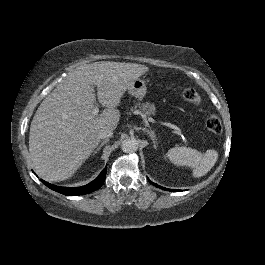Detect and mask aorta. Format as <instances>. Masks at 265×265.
<instances>
[{"label": "aorta", "mask_w": 265, "mask_h": 265, "mask_svg": "<svg viewBox=\"0 0 265 265\" xmlns=\"http://www.w3.org/2000/svg\"><path fill=\"white\" fill-rule=\"evenodd\" d=\"M121 148L125 153H134L138 149V141L135 138H127L122 141Z\"/></svg>", "instance_id": "aorta-1"}]
</instances>
